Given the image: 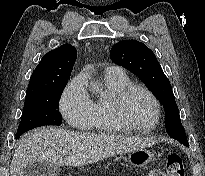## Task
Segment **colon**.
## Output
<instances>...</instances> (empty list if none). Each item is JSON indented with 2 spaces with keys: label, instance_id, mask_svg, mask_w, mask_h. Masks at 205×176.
I'll use <instances>...</instances> for the list:
<instances>
[{
  "label": "colon",
  "instance_id": "obj_1",
  "mask_svg": "<svg viewBox=\"0 0 205 176\" xmlns=\"http://www.w3.org/2000/svg\"><path fill=\"white\" fill-rule=\"evenodd\" d=\"M167 176H185V169L181 157L172 153L166 159ZM153 176H165L162 173H154Z\"/></svg>",
  "mask_w": 205,
  "mask_h": 176
}]
</instances>
